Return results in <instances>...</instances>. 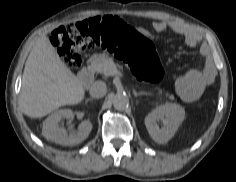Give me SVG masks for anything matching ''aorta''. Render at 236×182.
I'll use <instances>...</instances> for the list:
<instances>
[{
	"label": "aorta",
	"instance_id": "1",
	"mask_svg": "<svg viewBox=\"0 0 236 182\" xmlns=\"http://www.w3.org/2000/svg\"><path fill=\"white\" fill-rule=\"evenodd\" d=\"M129 105V99L125 94H117L113 98V106L116 110H124Z\"/></svg>",
	"mask_w": 236,
	"mask_h": 182
}]
</instances>
